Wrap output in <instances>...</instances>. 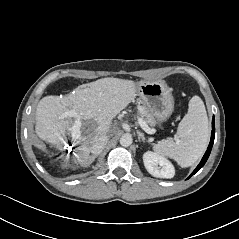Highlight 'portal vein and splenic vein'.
I'll return each mask as SVG.
<instances>
[{"instance_id": "18ae733b", "label": "portal vein and splenic vein", "mask_w": 239, "mask_h": 239, "mask_svg": "<svg viewBox=\"0 0 239 239\" xmlns=\"http://www.w3.org/2000/svg\"><path fill=\"white\" fill-rule=\"evenodd\" d=\"M64 117H74L76 118L75 125L70 129L72 132H74L79 126H80V118L78 117L77 113L74 110H69L66 111L63 115L62 118ZM138 123L140 127L148 134H153L155 130L151 129L146 122L142 118H138Z\"/></svg>"}]
</instances>
